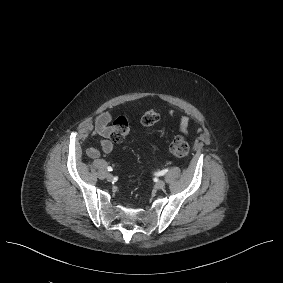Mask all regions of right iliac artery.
Returning <instances> with one entry per match:
<instances>
[{
  "instance_id": "obj_1",
  "label": "right iliac artery",
  "mask_w": 283,
  "mask_h": 283,
  "mask_svg": "<svg viewBox=\"0 0 283 283\" xmlns=\"http://www.w3.org/2000/svg\"><path fill=\"white\" fill-rule=\"evenodd\" d=\"M107 170H108V171H112L113 169H112V167L108 166V167H107Z\"/></svg>"
}]
</instances>
